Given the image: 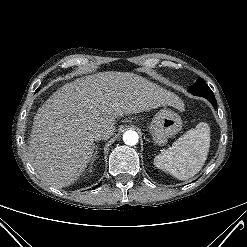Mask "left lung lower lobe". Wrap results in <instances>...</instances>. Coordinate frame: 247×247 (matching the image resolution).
Listing matches in <instances>:
<instances>
[{
  "label": "left lung lower lobe",
  "mask_w": 247,
  "mask_h": 247,
  "mask_svg": "<svg viewBox=\"0 0 247 247\" xmlns=\"http://www.w3.org/2000/svg\"><path fill=\"white\" fill-rule=\"evenodd\" d=\"M206 99H208V101H210L211 104H213L214 108L216 109L217 102H216L215 96H213V97H206Z\"/></svg>",
  "instance_id": "0a47b994"
}]
</instances>
